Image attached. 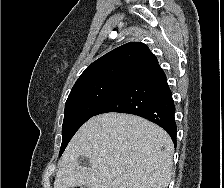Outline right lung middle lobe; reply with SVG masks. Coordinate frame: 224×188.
Wrapping results in <instances>:
<instances>
[{"instance_id":"1","label":"right lung middle lobe","mask_w":224,"mask_h":188,"mask_svg":"<svg viewBox=\"0 0 224 188\" xmlns=\"http://www.w3.org/2000/svg\"><path fill=\"white\" fill-rule=\"evenodd\" d=\"M132 79L111 77L74 85L65 104L62 144L59 156L70 139L88 119Z\"/></svg>"}]
</instances>
